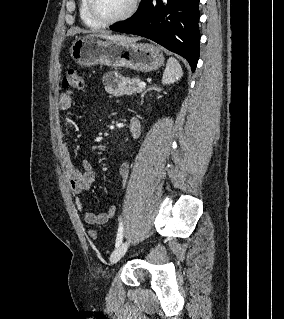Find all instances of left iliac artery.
<instances>
[{
	"label": "left iliac artery",
	"instance_id": "44dca946",
	"mask_svg": "<svg viewBox=\"0 0 284 319\" xmlns=\"http://www.w3.org/2000/svg\"><path fill=\"white\" fill-rule=\"evenodd\" d=\"M122 240H123V222L121 221L118 227L115 246L118 247L122 243Z\"/></svg>",
	"mask_w": 284,
	"mask_h": 319
}]
</instances>
